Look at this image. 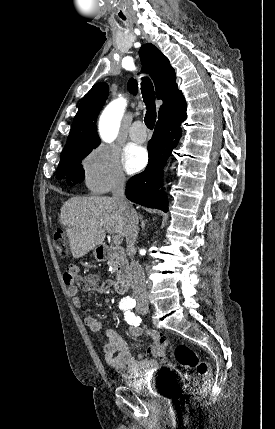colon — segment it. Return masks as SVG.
I'll use <instances>...</instances> for the list:
<instances>
[{
    "mask_svg": "<svg viewBox=\"0 0 275 429\" xmlns=\"http://www.w3.org/2000/svg\"><path fill=\"white\" fill-rule=\"evenodd\" d=\"M53 243L56 252L65 257L68 254V247L64 235L57 230L53 236ZM156 354L163 360L168 358V344L165 338L158 343ZM173 356L181 370L174 369L167 364L166 371L173 377L183 381L185 391L181 395V402L184 405H191L198 402L207 392L211 383V369L208 363L203 361L199 355L188 345L180 344L175 347ZM200 378L203 382L200 384Z\"/></svg>",
    "mask_w": 275,
    "mask_h": 429,
    "instance_id": "obj_1",
    "label": "colon"
}]
</instances>
